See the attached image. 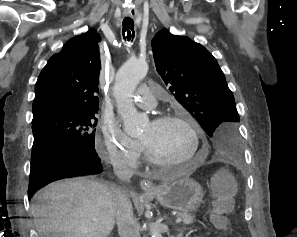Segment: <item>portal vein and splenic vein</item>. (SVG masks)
I'll list each match as a JSON object with an SVG mask.
<instances>
[{"label":"portal vein and splenic vein","mask_w":297,"mask_h":237,"mask_svg":"<svg viewBox=\"0 0 297 237\" xmlns=\"http://www.w3.org/2000/svg\"><path fill=\"white\" fill-rule=\"evenodd\" d=\"M95 222H97L98 220L97 219H93ZM182 221V218H177L176 220H175V222L176 223H180Z\"/></svg>","instance_id":"18ae733b"}]
</instances>
